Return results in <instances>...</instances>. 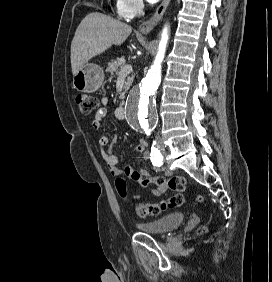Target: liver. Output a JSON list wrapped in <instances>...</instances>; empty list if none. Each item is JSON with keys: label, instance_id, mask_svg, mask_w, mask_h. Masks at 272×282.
<instances>
[{"label": "liver", "instance_id": "liver-1", "mask_svg": "<svg viewBox=\"0 0 272 282\" xmlns=\"http://www.w3.org/2000/svg\"><path fill=\"white\" fill-rule=\"evenodd\" d=\"M132 28L124 22L102 13L88 14L79 24L71 43V68L73 76L93 57L121 45Z\"/></svg>", "mask_w": 272, "mask_h": 282}]
</instances>
